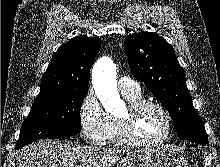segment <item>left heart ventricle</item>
<instances>
[{
  "label": "left heart ventricle",
  "instance_id": "left-heart-ventricle-1",
  "mask_svg": "<svg viewBox=\"0 0 220 167\" xmlns=\"http://www.w3.org/2000/svg\"><path fill=\"white\" fill-rule=\"evenodd\" d=\"M125 111L122 113L124 114ZM167 130V122L162 112L153 107H145L138 115L135 132L139 138L154 140L162 137Z\"/></svg>",
  "mask_w": 220,
  "mask_h": 167
}]
</instances>
